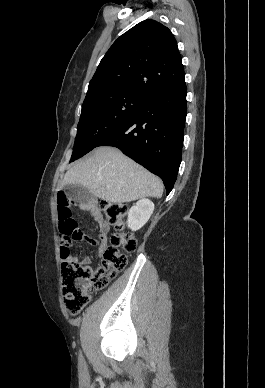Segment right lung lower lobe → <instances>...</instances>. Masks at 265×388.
Wrapping results in <instances>:
<instances>
[{
  "mask_svg": "<svg viewBox=\"0 0 265 388\" xmlns=\"http://www.w3.org/2000/svg\"><path fill=\"white\" fill-rule=\"evenodd\" d=\"M187 88L184 78L148 92L137 110L98 146H114L158 175L167 195L182 159Z\"/></svg>",
  "mask_w": 265,
  "mask_h": 388,
  "instance_id": "obj_1",
  "label": "right lung lower lobe"
}]
</instances>
